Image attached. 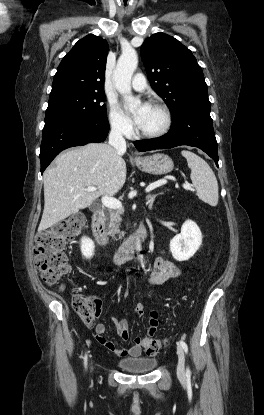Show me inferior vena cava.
I'll return each mask as SVG.
<instances>
[{
  "instance_id": "obj_1",
  "label": "inferior vena cava",
  "mask_w": 264,
  "mask_h": 415,
  "mask_svg": "<svg viewBox=\"0 0 264 415\" xmlns=\"http://www.w3.org/2000/svg\"><path fill=\"white\" fill-rule=\"evenodd\" d=\"M109 145H111L118 153H125L126 141L119 125L112 126L109 133Z\"/></svg>"
}]
</instances>
